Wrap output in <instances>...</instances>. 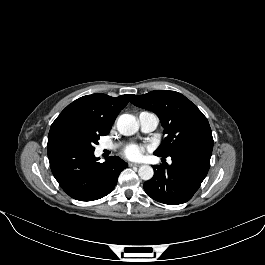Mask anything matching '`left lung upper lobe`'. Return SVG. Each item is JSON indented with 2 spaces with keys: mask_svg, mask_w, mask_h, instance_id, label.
<instances>
[{
  "mask_svg": "<svg viewBox=\"0 0 265 265\" xmlns=\"http://www.w3.org/2000/svg\"><path fill=\"white\" fill-rule=\"evenodd\" d=\"M131 103L155 112L167 134L155 151L169 155L179 146L195 138L212 135L203 113L181 93L157 90L144 95H132Z\"/></svg>",
  "mask_w": 265,
  "mask_h": 265,
  "instance_id": "obj_1",
  "label": "left lung upper lobe"
}]
</instances>
